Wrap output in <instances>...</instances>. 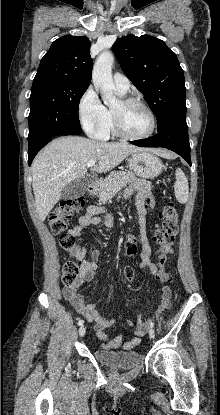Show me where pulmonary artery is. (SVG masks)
I'll use <instances>...</instances> for the list:
<instances>
[{"mask_svg": "<svg viewBox=\"0 0 220 415\" xmlns=\"http://www.w3.org/2000/svg\"><path fill=\"white\" fill-rule=\"evenodd\" d=\"M113 82L116 91L120 94H125L129 90L130 81L125 75L121 73H115L113 75Z\"/></svg>", "mask_w": 220, "mask_h": 415, "instance_id": "pulmonary-artery-1", "label": "pulmonary artery"}]
</instances>
